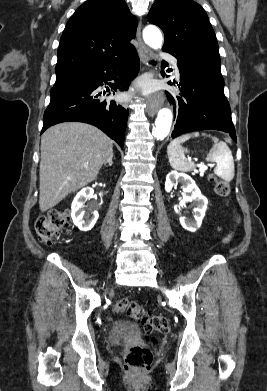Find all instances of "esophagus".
<instances>
[{
	"instance_id": "esophagus-1",
	"label": "esophagus",
	"mask_w": 267,
	"mask_h": 391,
	"mask_svg": "<svg viewBox=\"0 0 267 391\" xmlns=\"http://www.w3.org/2000/svg\"><path fill=\"white\" fill-rule=\"evenodd\" d=\"M137 39L139 42V54L144 63H146L147 59L151 55V51L149 48L142 42L141 39V23H139L138 28H137ZM163 93L162 92H157L155 93L152 97L148 99L147 102V112L150 116H154L159 108L161 107L163 103Z\"/></svg>"
}]
</instances>
